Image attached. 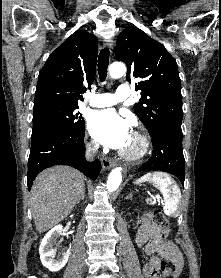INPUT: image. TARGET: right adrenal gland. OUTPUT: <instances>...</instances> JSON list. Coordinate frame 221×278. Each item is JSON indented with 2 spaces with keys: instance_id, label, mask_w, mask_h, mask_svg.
<instances>
[{
  "instance_id": "obj_1",
  "label": "right adrenal gland",
  "mask_w": 221,
  "mask_h": 278,
  "mask_svg": "<svg viewBox=\"0 0 221 278\" xmlns=\"http://www.w3.org/2000/svg\"><path fill=\"white\" fill-rule=\"evenodd\" d=\"M85 197V188L83 189V192L81 194V197L79 198V200L77 201V205L80 203V200H84Z\"/></svg>"
}]
</instances>
